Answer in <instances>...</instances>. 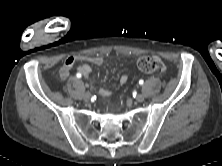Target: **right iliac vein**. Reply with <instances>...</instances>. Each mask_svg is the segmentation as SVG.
Masks as SVG:
<instances>
[{
	"instance_id": "63e3f726",
	"label": "right iliac vein",
	"mask_w": 222,
	"mask_h": 166,
	"mask_svg": "<svg viewBox=\"0 0 222 166\" xmlns=\"http://www.w3.org/2000/svg\"><path fill=\"white\" fill-rule=\"evenodd\" d=\"M83 98H84L85 101H89L90 98H91V93H90V92H86V93L84 94Z\"/></svg>"
}]
</instances>
